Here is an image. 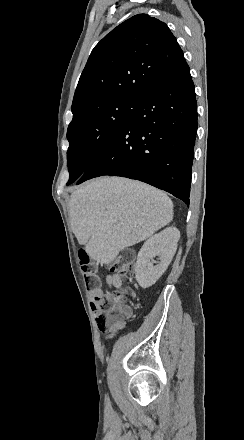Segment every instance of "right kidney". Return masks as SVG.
<instances>
[{
  "instance_id": "right-kidney-1",
  "label": "right kidney",
  "mask_w": 244,
  "mask_h": 440,
  "mask_svg": "<svg viewBox=\"0 0 244 440\" xmlns=\"http://www.w3.org/2000/svg\"><path fill=\"white\" fill-rule=\"evenodd\" d=\"M178 240L180 232L172 226L143 244L135 264V278L141 288H150L161 278L177 250ZM155 256H159L160 262L153 260Z\"/></svg>"
}]
</instances>
